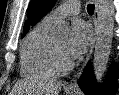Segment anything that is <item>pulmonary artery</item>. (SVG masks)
Here are the masks:
<instances>
[{
	"instance_id": "obj_1",
	"label": "pulmonary artery",
	"mask_w": 119,
	"mask_h": 95,
	"mask_svg": "<svg viewBox=\"0 0 119 95\" xmlns=\"http://www.w3.org/2000/svg\"><path fill=\"white\" fill-rule=\"evenodd\" d=\"M80 3L78 1H67L52 10L47 17L53 21L65 18L67 16L76 15L80 12Z\"/></svg>"
}]
</instances>
